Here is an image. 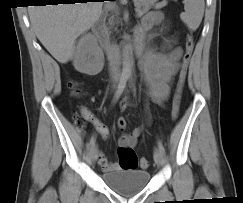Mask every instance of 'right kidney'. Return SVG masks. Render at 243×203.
<instances>
[{
	"label": "right kidney",
	"instance_id": "obj_1",
	"mask_svg": "<svg viewBox=\"0 0 243 203\" xmlns=\"http://www.w3.org/2000/svg\"><path fill=\"white\" fill-rule=\"evenodd\" d=\"M73 65L78 72L87 75H96L102 71L104 55L91 33L79 39L73 54Z\"/></svg>",
	"mask_w": 243,
	"mask_h": 203
}]
</instances>
